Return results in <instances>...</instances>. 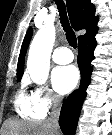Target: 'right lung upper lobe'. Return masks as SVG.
I'll list each match as a JSON object with an SVG mask.
<instances>
[{"label": "right lung upper lobe", "instance_id": "right-lung-upper-lobe-1", "mask_svg": "<svg viewBox=\"0 0 112 135\" xmlns=\"http://www.w3.org/2000/svg\"><path fill=\"white\" fill-rule=\"evenodd\" d=\"M68 14L71 25L76 31L86 30V33L78 36V40L89 38L96 34L98 17L95 16V6L90 0H67ZM32 37V28L27 30L18 59L17 78H21L24 72L25 54Z\"/></svg>", "mask_w": 112, "mask_h": 135}]
</instances>
